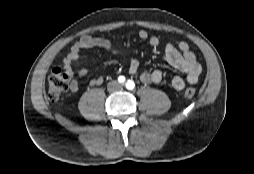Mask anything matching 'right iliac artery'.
<instances>
[{
    "mask_svg": "<svg viewBox=\"0 0 254 174\" xmlns=\"http://www.w3.org/2000/svg\"><path fill=\"white\" fill-rule=\"evenodd\" d=\"M118 81H119L120 83H124V82H125V77H124V76H119V77H118Z\"/></svg>",
    "mask_w": 254,
    "mask_h": 174,
    "instance_id": "82829eb1",
    "label": "right iliac artery"
}]
</instances>
